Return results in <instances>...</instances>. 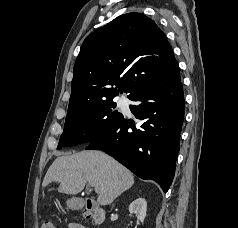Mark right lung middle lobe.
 Here are the masks:
<instances>
[{"mask_svg":"<svg viewBox=\"0 0 238 228\" xmlns=\"http://www.w3.org/2000/svg\"><path fill=\"white\" fill-rule=\"evenodd\" d=\"M115 107L116 103L109 100L67 113L57 149L88 143L112 128L123 119Z\"/></svg>","mask_w":238,"mask_h":228,"instance_id":"1","label":"right lung middle lobe"}]
</instances>
